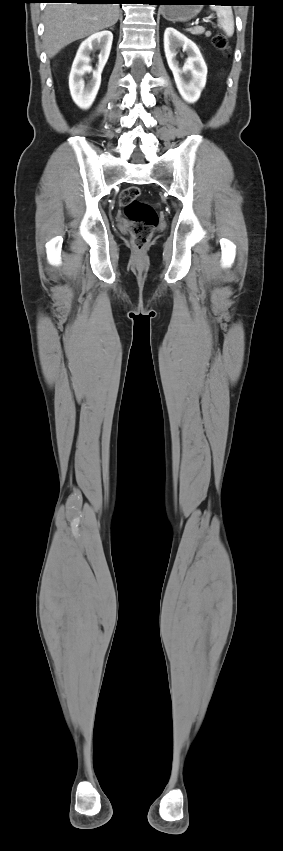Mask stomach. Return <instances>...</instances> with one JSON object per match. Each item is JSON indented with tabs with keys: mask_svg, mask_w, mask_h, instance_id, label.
<instances>
[{
	"mask_svg": "<svg viewBox=\"0 0 283 851\" xmlns=\"http://www.w3.org/2000/svg\"><path fill=\"white\" fill-rule=\"evenodd\" d=\"M171 5L160 8L163 17L169 21H187L195 17L202 9V0H173Z\"/></svg>",
	"mask_w": 283,
	"mask_h": 851,
	"instance_id": "1",
	"label": "stomach"
}]
</instances>
